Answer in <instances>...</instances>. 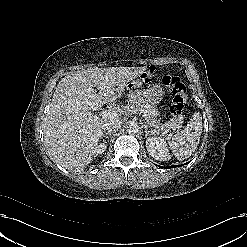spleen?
Masks as SVG:
<instances>
[{"mask_svg":"<svg viewBox=\"0 0 247 247\" xmlns=\"http://www.w3.org/2000/svg\"><path fill=\"white\" fill-rule=\"evenodd\" d=\"M202 133V117L199 112L193 114L187 126L178 131L170 141V148L178 160L189 158L196 150Z\"/></svg>","mask_w":247,"mask_h":247,"instance_id":"spleen-1","label":"spleen"}]
</instances>
